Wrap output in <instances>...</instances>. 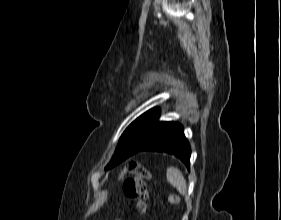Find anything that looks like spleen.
I'll return each mask as SVG.
<instances>
[{
	"label": "spleen",
	"mask_w": 281,
	"mask_h": 220,
	"mask_svg": "<svg viewBox=\"0 0 281 220\" xmlns=\"http://www.w3.org/2000/svg\"><path fill=\"white\" fill-rule=\"evenodd\" d=\"M167 181L182 195H186L187 184L182 172L176 167L167 168Z\"/></svg>",
	"instance_id": "obj_1"
}]
</instances>
